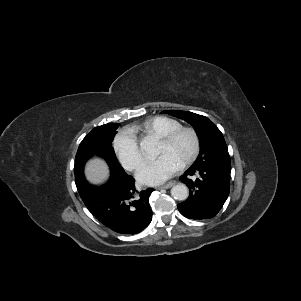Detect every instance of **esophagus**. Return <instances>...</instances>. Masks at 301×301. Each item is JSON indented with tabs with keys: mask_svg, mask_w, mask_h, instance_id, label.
<instances>
[{
	"mask_svg": "<svg viewBox=\"0 0 301 301\" xmlns=\"http://www.w3.org/2000/svg\"><path fill=\"white\" fill-rule=\"evenodd\" d=\"M175 184H176V181L175 180H171L168 183H166L165 185L157 187V189H168V188L172 187Z\"/></svg>",
	"mask_w": 301,
	"mask_h": 301,
	"instance_id": "esophagus-1",
	"label": "esophagus"
}]
</instances>
